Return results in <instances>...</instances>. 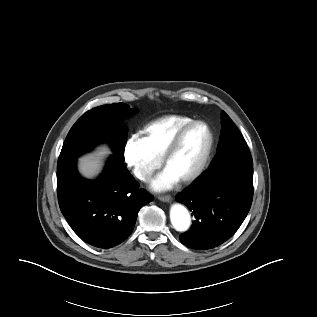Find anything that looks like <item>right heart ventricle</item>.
Returning <instances> with one entry per match:
<instances>
[{
  "instance_id": "right-heart-ventricle-1",
  "label": "right heart ventricle",
  "mask_w": 317,
  "mask_h": 317,
  "mask_svg": "<svg viewBox=\"0 0 317 317\" xmlns=\"http://www.w3.org/2000/svg\"><path fill=\"white\" fill-rule=\"evenodd\" d=\"M190 121H192L190 117L183 115L159 118L143 128L142 139L153 155L163 159L176 133Z\"/></svg>"
}]
</instances>
